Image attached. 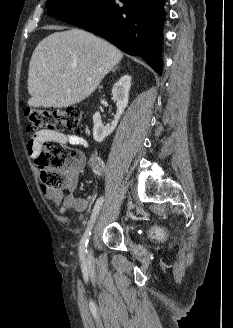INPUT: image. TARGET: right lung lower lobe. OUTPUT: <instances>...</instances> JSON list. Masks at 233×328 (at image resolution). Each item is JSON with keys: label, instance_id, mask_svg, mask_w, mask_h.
<instances>
[{"label": "right lung lower lobe", "instance_id": "98d812e1", "mask_svg": "<svg viewBox=\"0 0 233 328\" xmlns=\"http://www.w3.org/2000/svg\"><path fill=\"white\" fill-rule=\"evenodd\" d=\"M165 1L124 0L118 4L116 0H100L62 20L99 34L129 55L142 57L161 75Z\"/></svg>", "mask_w": 233, "mask_h": 328}]
</instances>
